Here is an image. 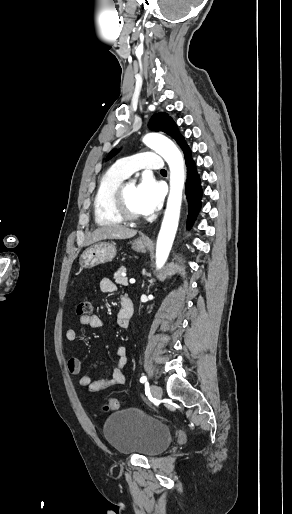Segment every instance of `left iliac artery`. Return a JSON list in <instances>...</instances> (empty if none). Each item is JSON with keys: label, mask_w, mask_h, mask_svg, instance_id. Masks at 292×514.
<instances>
[{"label": "left iliac artery", "mask_w": 292, "mask_h": 514, "mask_svg": "<svg viewBox=\"0 0 292 514\" xmlns=\"http://www.w3.org/2000/svg\"><path fill=\"white\" fill-rule=\"evenodd\" d=\"M140 382H141V383H145V382H147V378H146V376H142V377L140 378Z\"/></svg>", "instance_id": "44dca946"}]
</instances>
